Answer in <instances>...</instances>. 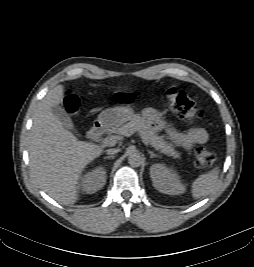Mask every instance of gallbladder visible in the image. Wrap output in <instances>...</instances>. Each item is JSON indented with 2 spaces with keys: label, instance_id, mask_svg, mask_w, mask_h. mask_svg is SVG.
I'll list each match as a JSON object with an SVG mask.
<instances>
[{
  "label": "gallbladder",
  "instance_id": "gallbladder-1",
  "mask_svg": "<svg viewBox=\"0 0 254 267\" xmlns=\"http://www.w3.org/2000/svg\"><path fill=\"white\" fill-rule=\"evenodd\" d=\"M53 114L58 118V120L62 123L64 127H66L69 130H73V122L71 118L68 116L66 111L61 106H53L52 107Z\"/></svg>",
  "mask_w": 254,
  "mask_h": 267
}]
</instances>
